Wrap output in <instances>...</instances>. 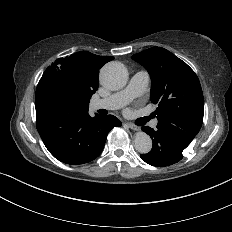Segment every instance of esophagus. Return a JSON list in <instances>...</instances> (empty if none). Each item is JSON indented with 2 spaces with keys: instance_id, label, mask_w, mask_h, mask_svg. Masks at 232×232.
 Instances as JSON below:
<instances>
[{
  "instance_id": "esophagus-1",
  "label": "esophagus",
  "mask_w": 232,
  "mask_h": 232,
  "mask_svg": "<svg viewBox=\"0 0 232 232\" xmlns=\"http://www.w3.org/2000/svg\"><path fill=\"white\" fill-rule=\"evenodd\" d=\"M125 125L128 126V128H130L132 130H139L140 129L138 126L134 125L131 122H126Z\"/></svg>"
}]
</instances>
